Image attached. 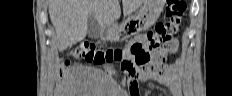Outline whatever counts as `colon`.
<instances>
[{
	"instance_id": "1",
	"label": "colon",
	"mask_w": 232,
	"mask_h": 96,
	"mask_svg": "<svg viewBox=\"0 0 232 96\" xmlns=\"http://www.w3.org/2000/svg\"><path fill=\"white\" fill-rule=\"evenodd\" d=\"M186 3L184 0H167L166 18L159 22L154 31L147 35L145 45L134 44L124 50L101 49L91 42H81L76 46L71 55L90 63H120L122 68L137 77L143 72L161 71V66L150 62V55L156 62L163 61L172 52L171 44L182 24ZM67 61L61 62L64 66Z\"/></svg>"
}]
</instances>
